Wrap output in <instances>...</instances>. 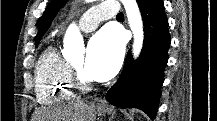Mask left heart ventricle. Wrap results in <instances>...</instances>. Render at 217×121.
Instances as JSON below:
<instances>
[{
    "label": "left heart ventricle",
    "instance_id": "1",
    "mask_svg": "<svg viewBox=\"0 0 217 121\" xmlns=\"http://www.w3.org/2000/svg\"><path fill=\"white\" fill-rule=\"evenodd\" d=\"M73 66L77 68L79 71H81L86 77H88L85 73V59H81L75 63H73ZM89 78V77H88Z\"/></svg>",
    "mask_w": 217,
    "mask_h": 121
}]
</instances>
